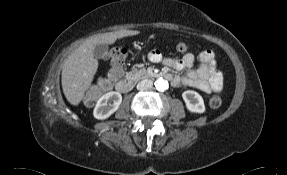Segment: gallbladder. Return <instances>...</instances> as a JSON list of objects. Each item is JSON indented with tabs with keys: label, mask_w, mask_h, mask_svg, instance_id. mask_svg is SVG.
Masks as SVG:
<instances>
[{
	"label": "gallbladder",
	"mask_w": 287,
	"mask_h": 175,
	"mask_svg": "<svg viewBox=\"0 0 287 175\" xmlns=\"http://www.w3.org/2000/svg\"><path fill=\"white\" fill-rule=\"evenodd\" d=\"M105 51H106V48H105L104 46L98 45V46L95 48V57H96V58H101V57H103Z\"/></svg>",
	"instance_id": "bac80fb5"
}]
</instances>
